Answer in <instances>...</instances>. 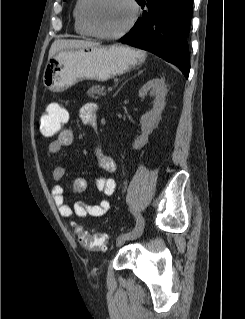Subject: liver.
<instances>
[{
	"mask_svg": "<svg viewBox=\"0 0 245 319\" xmlns=\"http://www.w3.org/2000/svg\"><path fill=\"white\" fill-rule=\"evenodd\" d=\"M97 46H100V44L92 41L78 39H59L54 41V43L51 45L48 58H51L58 51L65 49L92 48Z\"/></svg>",
	"mask_w": 245,
	"mask_h": 319,
	"instance_id": "6515ba94",
	"label": "liver"
}]
</instances>
